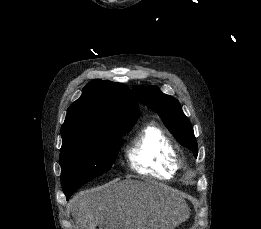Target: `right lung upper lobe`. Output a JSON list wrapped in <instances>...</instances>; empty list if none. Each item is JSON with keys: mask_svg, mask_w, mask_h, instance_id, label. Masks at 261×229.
<instances>
[{"mask_svg": "<svg viewBox=\"0 0 261 229\" xmlns=\"http://www.w3.org/2000/svg\"><path fill=\"white\" fill-rule=\"evenodd\" d=\"M138 117V104L126 85L92 80L67 110L61 126L62 145L102 136L100 129L135 123Z\"/></svg>", "mask_w": 261, "mask_h": 229, "instance_id": "right-lung-upper-lobe-1", "label": "right lung upper lobe"}]
</instances>
